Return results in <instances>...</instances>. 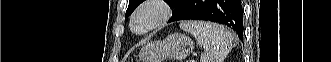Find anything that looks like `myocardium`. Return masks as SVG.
<instances>
[{"mask_svg":"<svg viewBox=\"0 0 331 62\" xmlns=\"http://www.w3.org/2000/svg\"><path fill=\"white\" fill-rule=\"evenodd\" d=\"M171 9L166 1L151 0L142 3L130 18V29L136 35H145L162 27L170 19ZM147 18L145 26L138 27L140 20Z\"/></svg>","mask_w":331,"mask_h":62,"instance_id":"obj_1","label":"myocardium"}]
</instances>
